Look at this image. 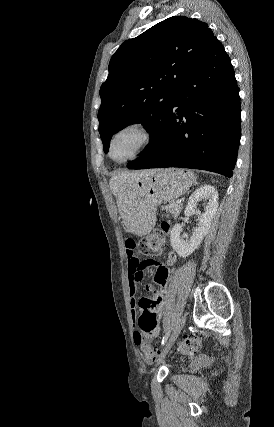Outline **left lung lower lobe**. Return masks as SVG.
<instances>
[{"mask_svg": "<svg viewBox=\"0 0 274 427\" xmlns=\"http://www.w3.org/2000/svg\"><path fill=\"white\" fill-rule=\"evenodd\" d=\"M234 70L214 37L181 82L153 146L128 168L182 167L231 178L241 137Z\"/></svg>", "mask_w": 274, "mask_h": 427, "instance_id": "obj_1", "label": "left lung lower lobe"}]
</instances>
